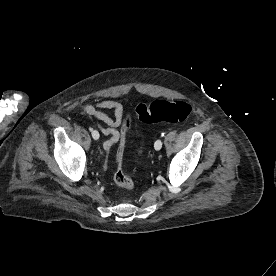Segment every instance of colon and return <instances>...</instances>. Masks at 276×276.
<instances>
[{
    "mask_svg": "<svg viewBox=\"0 0 276 276\" xmlns=\"http://www.w3.org/2000/svg\"><path fill=\"white\" fill-rule=\"evenodd\" d=\"M191 112V106L185 101L157 100L151 104H139L135 108L138 119L147 124L159 123L162 121L177 123L187 119ZM130 124V117L125 119V128ZM114 183L117 187L130 191L134 183L127 174L124 164L119 163L114 173Z\"/></svg>",
    "mask_w": 276,
    "mask_h": 276,
    "instance_id": "5ec220e1",
    "label": "colon"
}]
</instances>
